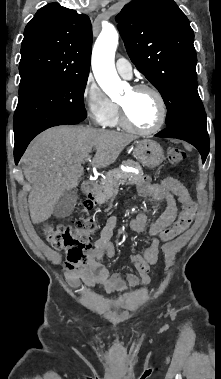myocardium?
Listing matches in <instances>:
<instances>
[{
    "label": "myocardium",
    "instance_id": "myocardium-1",
    "mask_svg": "<svg viewBox=\"0 0 221 379\" xmlns=\"http://www.w3.org/2000/svg\"><path fill=\"white\" fill-rule=\"evenodd\" d=\"M132 90L134 92L147 91L153 94L158 104V110H159L158 118H157L156 123L153 126L149 128H139L131 123V121L128 118L125 108L121 104H119V120H120L121 125L128 131H131L133 133L140 134V135H150V134L156 133L163 127L167 118V106H166V102L162 93L156 87L149 84L136 85L132 88Z\"/></svg>",
    "mask_w": 221,
    "mask_h": 379
}]
</instances>
